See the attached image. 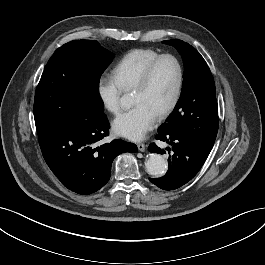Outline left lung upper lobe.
Listing matches in <instances>:
<instances>
[{"label": "left lung upper lobe", "instance_id": "obj_1", "mask_svg": "<svg viewBox=\"0 0 265 265\" xmlns=\"http://www.w3.org/2000/svg\"><path fill=\"white\" fill-rule=\"evenodd\" d=\"M182 55L184 74L182 93L172 114L158 133L189 136L211 151L218 131V105L211 71L200 53L188 43L163 41Z\"/></svg>", "mask_w": 265, "mask_h": 265}]
</instances>
